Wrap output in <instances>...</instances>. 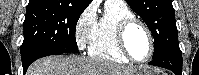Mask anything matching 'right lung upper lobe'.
<instances>
[{
	"mask_svg": "<svg viewBox=\"0 0 199 75\" xmlns=\"http://www.w3.org/2000/svg\"><path fill=\"white\" fill-rule=\"evenodd\" d=\"M92 0H29L27 6L46 7L51 5H60L74 9H84Z\"/></svg>",
	"mask_w": 199,
	"mask_h": 75,
	"instance_id": "cb5924a9",
	"label": "right lung upper lobe"
}]
</instances>
